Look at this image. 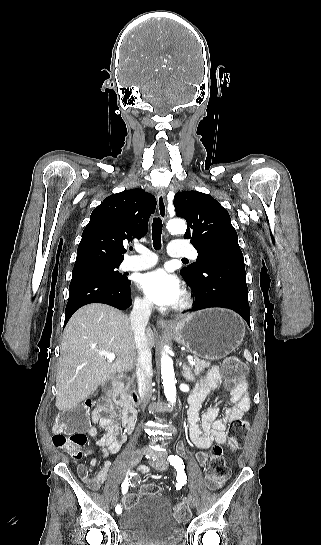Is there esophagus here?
<instances>
[{
  "mask_svg": "<svg viewBox=\"0 0 321 545\" xmlns=\"http://www.w3.org/2000/svg\"><path fill=\"white\" fill-rule=\"evenodd\" d=\"M157 202H158V213L161 217V219L166 222L167 220V209H166V203H165V193L163 191H160L157 195ZM157 326L160 328L165 329H172L174 328V324L172 322H166L163 319L157 320Z\"/></svg>",
  "mask_w": 321,
  "mask_h": 545,
  "instance_id": "obj_1",
  "label": "esophagus"
}]
</instances>
